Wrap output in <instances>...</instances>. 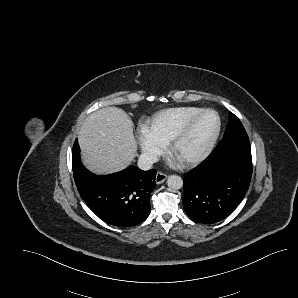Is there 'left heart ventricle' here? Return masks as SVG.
I'll return each mask as SVG.
<instances>
[{"instance_id":"1","label":"left heart ventricle","mask_w":298,"mask_h":298,"mask_svg":"<svg viewBox=\"0 0 298 298\" xmlns=\"http://www.w3.org/2000/svg\"><path fill=\"white\" fill-rule=\"evenodd\" d=\"M215 124V117L212 114H206L199 118L180 139L172 155L173 160L182 162L197 153L213 134Z\"/></svg>"}]
</instances>
